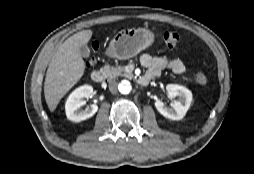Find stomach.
<instances>
[{
  "mask_svg": "<svg viewBox=\"0 0 254 174\" xmlns=\"http://www.w3.org/2000/svg\"><path fill=\"white\" fill-rule=\"evenodd\" d=\"M154 39V33L146 28L121 30L111 40L107 55L119 60L132 58L151 46Z\"/></svg>",
  "mask_w": 254,
  "mask_h": 174,
  "instance_id": "obj_1",
  "label": "stomach"
}]
</instances>
